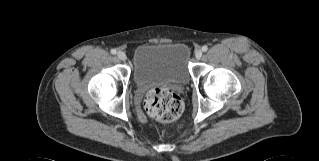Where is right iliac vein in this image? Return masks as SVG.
Masks as SVG:
<instances>
[{
  "label": "right iliac vein",
  "mask_w": 319,
  "mask_h": 161,
  "mask_svg": "<svg viewBox=\"0 0 319 161\" xmlns=\"http://www.w3.org/2000/svg\"><path fill=\"white\" fill-rule=\"evenodd\" d=\"M117 58H118L119 60H121V61H126L127 56H126V54H125L124 52L119 51V52L117 53Z\"/></svg>",
  "instance_id": "63e3f726"
}]
</instances>
